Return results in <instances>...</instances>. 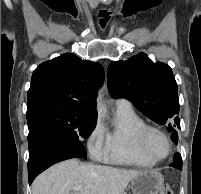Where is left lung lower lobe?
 I'll use <instances>...</instances> for the list:
<instances>
[{
	"instance_id": "obj_1",
	"label": "left lung lower lobe",
	"mask_w": 201,
	"mask_h": 194,
	"mask_svg": "<svg viewBox=\"0 0 201 194\" xmlns=\"http://www.w3.org/2000/svg\"><path fill=\"white\" fill-rule=\"evenodd\" d=\"M172 140L177 144L178 137H174ZM170 166L182 170V158L179 153L174 155V162Z\"/></svg>"
}]
</instances>
